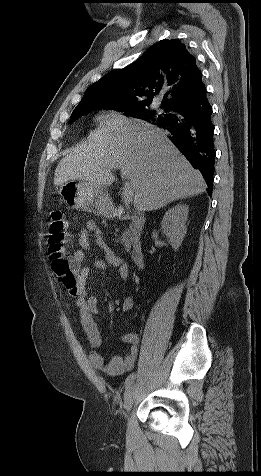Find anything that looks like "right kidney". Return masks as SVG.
I'll use <instances>...</instances> for the list:
<instances>
[{
  "mask_svg": "<svg viewBox=\"0 0 261 476\" xmlns=\"http://www.w3.org/2000/svg\"><path fill=\"white\" fill-rule=\"evenodd\" d=\"M188 206L177 204L168 209L163 216L161 228L174 250H178L185 237Z\"/></svg>",
  "mask_w": 261,
  "mask_h": 476,
  "instance_id": "obj_1",
  "label": "right kidney"
}]
</instances>
